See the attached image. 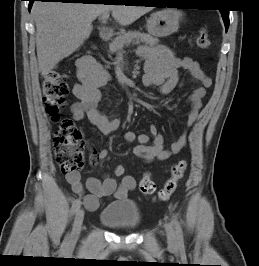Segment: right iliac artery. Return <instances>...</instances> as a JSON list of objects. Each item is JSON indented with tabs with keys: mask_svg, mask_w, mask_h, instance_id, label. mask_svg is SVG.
I'll return each mask as SVG.
<instances>
[{
	"mask_svg": "<svg viewBox=\"0 0 259 266\" xmlns=\"http://www.w3.org/2000/svg\"><path fill=\"white\" fill-rule=\"evenodd\" d=\"M80 206H81V200L75 199L72 203L70 215L73 216L80 209Z\"/></svg>",
	"mask_w": 259,
	"mask_h": 266,
	"instance_id": "82829eb1",
	"label": "right iliac artery"
}]
</instances>
